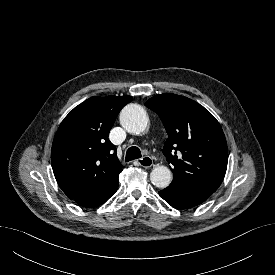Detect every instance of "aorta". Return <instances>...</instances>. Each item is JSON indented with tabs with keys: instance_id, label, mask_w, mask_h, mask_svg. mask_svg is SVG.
I'll return each instance as SVG.
<instances>
[{
	"instance_id": "762f6f07",
	"label": "aorta",
	"mask_w": 275,
	"mask_h": 275,
	"mask_svg": "<svg viewBox=\"0 0 275 275\" xmlns=\"http://www.w3.org/2000/svg\"><path fill=\"white\" fill-rule=\"evenodd\" d=\"M122 127L133 134H142L148 126V116L144 108L138 104H128L120 113ZM150 180L158 188H166L172 180L168 167L157 166L150 173Z\"/></svg>"
}]
</instances>
